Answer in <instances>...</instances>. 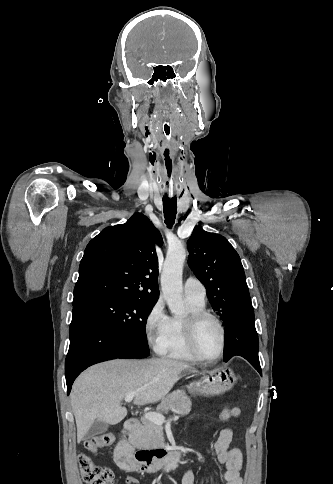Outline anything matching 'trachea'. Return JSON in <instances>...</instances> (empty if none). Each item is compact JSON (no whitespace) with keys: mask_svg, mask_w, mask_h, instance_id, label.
Segmentation results:
<instances>
[{"mask_svg":"<svg viewBox=\"0 0 333 484\" xmlns=\"http://www.w3.org/2000/svg\"><path fill=\"white\" fill-rule=\"evenodd\" d=\"M173 132L170 127L165 124L162 133L163 146L162 153L164 154L165 163L163 165L164 171V197H163V207H164V218L165 224L168 228H172L175 223V218L177 214V194L179 187L176 171V157L172 151L173 143Z\"/></svg>","mask_w":333,"mask_h":484,"instance_id":"3493384b","label":"trachea"}]
</instances>
